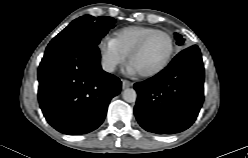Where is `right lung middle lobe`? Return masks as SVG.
<instances>
[{
  "instance_id": "dd1d6c3e",
  "label": "right lung middle lobe",
  "mask_w": 248,
  "mask_h": 158,
  "mask_svg": "<svg viewBox=\"0 0 248 158\" xmlns=\"http://www.w3.org/2000/svg\"><path fill=\"white\" fill-rule=\"evenodd\" d=\"M115 22L112 17L100 16L95 19L85 15L73 20L52 41L88 42L97 46Z\"/></svg>"
}]
</instances>
